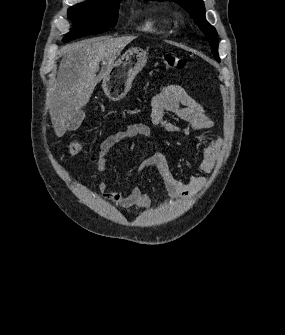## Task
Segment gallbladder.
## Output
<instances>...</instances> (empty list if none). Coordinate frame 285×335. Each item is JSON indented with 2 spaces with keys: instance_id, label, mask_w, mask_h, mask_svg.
<instances>
[{
  "instance_id": "obj_1",
  "label": "gallbladder",
  "mask_w": 285,
  "mask_h": 335,
  "mask_svg": "<svg viewBox=\"0 0 285 335\" xmlns=\"http://www.w3.org/2000/svg\"><path fill=\"white\" fill-rule=\"evenodd\" d=\"M85 118V112H82V110H78V112H76V114H74L70 124H69V128L68 130H77V128H79V126H81L83 120Z\"/></svg>"
}]
</instances>
